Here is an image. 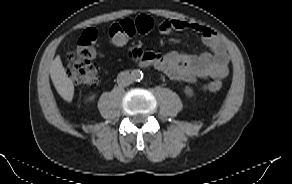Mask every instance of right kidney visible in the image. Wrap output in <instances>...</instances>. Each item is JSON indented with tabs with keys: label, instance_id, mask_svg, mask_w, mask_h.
<instances>
[{
	"label": "right kidney",
	"instance_id": "obj_1",
	"mask_svg": "<svg viewBox=\"0 0 292 184\" xmlns=\"http://www.w3.org/2000/svg\"><path fill=\"white\" fill-rule=\"evenodd\" d=\"M95 98V95H92V96H90L87 100L88 101H91V100H93Z\"/></svg>",
	"mask_w": 292,
	"mask_h": 184
}]
</instances>
